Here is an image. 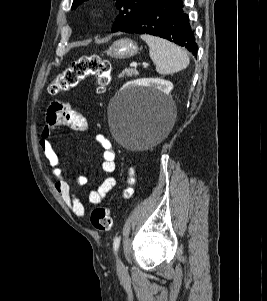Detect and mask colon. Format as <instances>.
Instances as JSON below:
<instances>
[{"mask_svg": "<svg viewBox=\"0 0 267 301\" xmlns=\"http://www.w3.org/2000/svg\"><path fill=\"white\" fill-rule=\"evenodd\" d=\"M87 77H95L98 82V93L105 92L112 79V68L108 60L97 55L82 56L73 61L62 73H60L49 85L50 94H58L76 87ZM128 186L123 191V197L129 198L132 194V174L127 180ZM90 220L93 227L99 231H108L112 226V216L107 207H96L92 210Z\"/></svg>", "mask_w": 267, "mask_h": 301, "instance_id": "5ec220e1", "label": "colon"}]
</instances>
